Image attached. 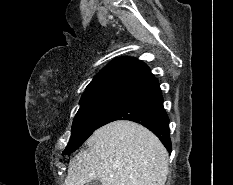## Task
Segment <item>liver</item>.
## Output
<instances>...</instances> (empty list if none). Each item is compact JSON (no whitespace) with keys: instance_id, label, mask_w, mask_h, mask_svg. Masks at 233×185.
I'll return each instance as SVG.
<instances>
[{"instance_id":"1","label":"liver","mask_w":233,"mask_h":185,"mask_svg":"<svg viewBox=\"0 0 233 185\" xmlns=\"http://www.w3.org/2000/svg\"><path fill=\"white\" fill-rule=\"evenodd\" d=\"M69 162L63 185H165L168 152L147 128L118 120L97 129Z\"/></svg>"}]
</instances>
